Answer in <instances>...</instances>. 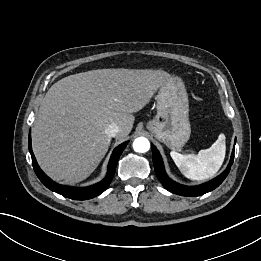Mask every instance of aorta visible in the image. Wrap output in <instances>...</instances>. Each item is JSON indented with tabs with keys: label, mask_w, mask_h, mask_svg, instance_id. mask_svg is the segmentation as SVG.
<instances>
[{
	"label": "aorta",
	"mask_w": 261,
	"mask_h": 261,
	"mask_svg": "<svg viewBox=\"0 0 261 261\" xmlns=\"http://www.w3.org/2000/svg\"><path fill=\"white\" fill-rule=\"evenodd\" d=\"M133 149L139 153H145L150 149V142L145 137H138L133 142Z\"/></svg>",
	"instance_id": "obj_1"
}]
</instances>
